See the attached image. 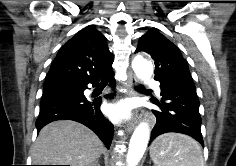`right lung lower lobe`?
I'll return each mask as SVG.
<instances>
[{
	"instance_id": "98d812e1",
	"label": "right lung lower lobe",
	"mask_w": 236,
	"mask_h": 166,
	"mask_svg": "<svg viewBox=\"0 0 236 166\" xmlns=\"http://www.w3.org/2000/svg\"><path fill=\"white\" fill-rule=\"evenodd\" d=\"M100 78L110 81L114 87V72L106 71L102 76L90 79H57L44 83L41 108L36 120L37 131L56 120H73L84 124L94 131L109 148L114 133L113 125L103 116L99 107L101 99L88 100L83 92L87 85H95ZM112 98L113 94L106 95Z\"/></svg>"
}]
</instances>
